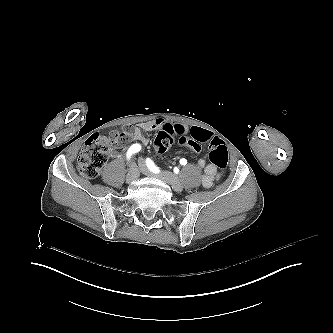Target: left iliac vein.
<instances>
[{
	"label": "left iliac vein",
	"mask_w": 333,
	"mask_h": 333,
	"mask_svg": "<svg viewBox=\"0 0 333 333\" xmlns=\"http://www.w3.org/2000/svg\"><path fill=\"white\" fill-rule=\"evenodd\" d=\"M138 167L145 175L155 176L146 166L143 160L138 161ZM165 182L169 183L172 189L176 192L183 190V185L178 177H172L169 173L164 172L159 175Z\"/></svg>",
	"instance_id": "left-iliac-vein-1"
}]
</instances>
